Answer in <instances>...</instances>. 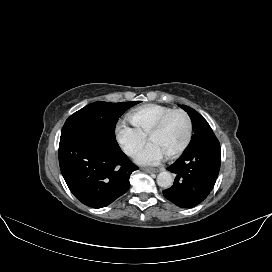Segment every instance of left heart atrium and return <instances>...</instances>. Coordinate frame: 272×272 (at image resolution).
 Returning <instances> with one entry per match:
<instances>
[{
  "label": "left heart atrium",
  "mask_w": 272,
  "mask_h": 272,
  "mask_svg": "<svg viewBox=\"0 0 272 272\" xmlns=\"http://www.w3.org/2000/svg\"><path fill=\"white\" fill-rule=\"evenodd\" d=\"M165 154L154 143L148 142L144 148L137 154L136 161L142 165H156L163 160Z\"/></svg>",
  "instance_id": "1"
}]
</instances>
